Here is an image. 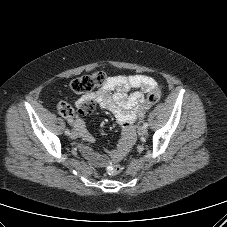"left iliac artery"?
I'll use <instances>...</instances> for the list:
<instances>
[{"mask_svg": "<svg viewBox=\"0 0 227 227\" xmlns=\"http://www.w3.org/2000/svg\"><path fill=\"white\" fill-rule=\"evenodd\" d=\"M143 127L147 128L148 127V123H144Z\"/></svg>", "mask_w": 227, "mask_h": 227, "instance_id": "left-iliac-artery-1", "label": "left iliac artery"}]
</instances>
